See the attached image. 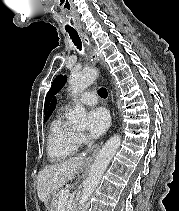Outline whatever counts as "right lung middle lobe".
Returning <instances> with one entry per match:
<instances>
[{"instance_id": "1", "label": "right lung middle lobe", "mask_w": 179, "mask_h": 211, "mask_svg": "<svg viewBox=\"0 0 179 211\" xmlns=\"http://www.w3.org/2000/svg\"><path fill=\"white\" fill-rule=\"evenodd\" d=\"M47 119H48V118H45V120H44V121H47Z\"/></svg>"}]
</instances>
